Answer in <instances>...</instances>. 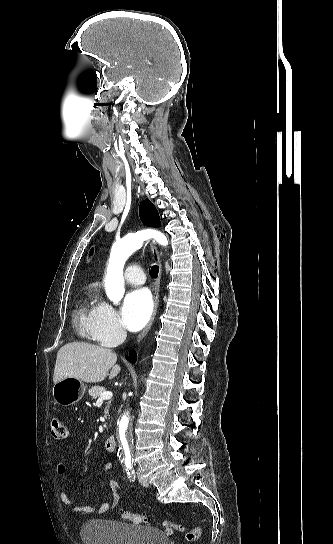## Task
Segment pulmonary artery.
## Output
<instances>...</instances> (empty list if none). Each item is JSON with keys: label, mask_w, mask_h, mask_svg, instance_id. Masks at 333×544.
Returning <instances> with one entry per match:
<instances>
[{"label": "pulmonary artery", "mask_w": 333, "mask_h": 544, "mask_svg": "<svg viewBox=\"0 0 333 544\" xmlns=\"http://www.w3.org/2000/svg\"><path fill=\"white\" fill-rule=\"evenodd\" d=\"M125 280L132 285H142L145 282V275L139 265H130L124 273Z\"/></svg>", "instance_id": "obj_1"}]
</instances>
